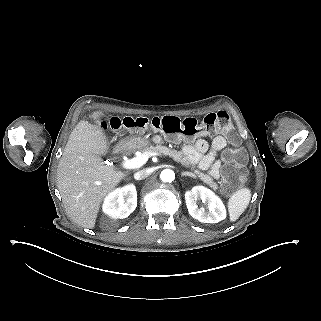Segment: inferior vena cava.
<instances>
[{"label":"inferior vena cava","mask_w":321,"mask_h":321,"mask_svg":"<svg viewBox=\"0 0 321 321\" xmlns=\"http://www.w3.org/2000/svg\"><path fill=\"white\" fill-rule=\"evenodd\" d=\"M151 174V171L149 169H143L134 174V178L136 180H142L147 178Z\"/></svg>","instance_id":"obj_1"}]
</instances>
